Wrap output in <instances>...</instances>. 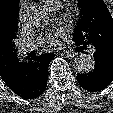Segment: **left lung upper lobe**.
I'll return each mask as SVG.
<instances>
[{
	"instance_id": "obj_1",
	"label": "left lung upper lobe",
	"mask_w": 113,
	"mask_h": 113,
	"mask_svg": "<svg viewBox=\"0 0 113 113\" xmlns=\"http://www.w3.org/2000/svg\"><path fill=\"white\" fill-rule=\"evenodd\" d=\"M81 15L73 40L88 45L105 42L113 45V19L103 0H78Z\"/></svg>"
}]
</instances>
